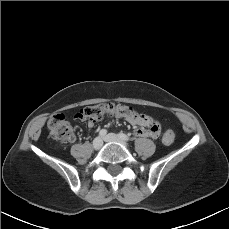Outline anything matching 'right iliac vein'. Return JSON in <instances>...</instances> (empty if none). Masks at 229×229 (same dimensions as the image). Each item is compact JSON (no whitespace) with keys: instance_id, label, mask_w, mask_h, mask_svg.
<instances>
[{"instance_id":"63e3f726","label":"right iliac vein","mask_w":229,"mask_h":229,"mask_svg":"<svg viewBox=\"0 0 229 229\" xmlns=\"http://www.w3.org/2000/svg\"><path fill=\"white\" fill-rule=\"evenodd\" d=\"M103 145V140L101 137H96L94 140H93V148L95 150H99Z\"/></svg>"}]
</instances>
